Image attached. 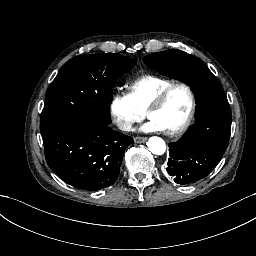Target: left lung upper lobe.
Wrapping results in <instances>:
<instances>
[{
  "label": "left lung upper lobe",
  "instance_id": "5c2ea615",
  "mask_svg": "<svg viewBox=\"0 0 256 256\" xmlns=\"http://www.w3.org/2000/svg\"><path fill=\"white\" fill-rule=\"evenodd\" d=\"M143 61L150 69L186 83L195 93L196 125L169 144L167 172L207 176L220 161L230 137L231 109L220 83L199 58L179 50L154 53Z\"/></svg>",
  "mask_w": 256,
  "mask_h": 256
}]
</instances>
